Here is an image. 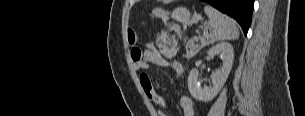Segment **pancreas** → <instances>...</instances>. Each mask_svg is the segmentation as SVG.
Segmentation results:
<instances>
[{
	"instance_id": "1",
	"label": "pancreas",
	"mask_w": 305,
	"mask_h": 116,
	"mask_svg": "<svg viewBox=\"0 0 305 116\" xmlns=\"http://www.w3.org/2000/svg\"><path fill=\"white\" fill-rule=\"evenodd\" d=\"M202 47H203L202 44L195 43V41H191V42L187 43L185 57L187 59L194 57L200 51V49Z\"/></svg>"
}]
</instances>
